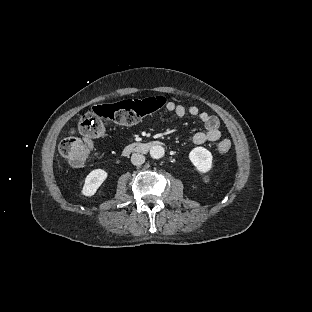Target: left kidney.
<instances>
[{"instance_id":"5707ae66","label":"left kidney","mask_w":312,"mask_h":312,"mask_svg":"<svg viewBox=\"0 0 312 312\" xmlns=\"http://www.w3.org/2000/svg\"><path fill=\"white\" fill-rule=\"evenodd\" d=\"M188 158L199 174H207L214 167L213 155L204 147L198 146L193 148Z\"/></svg>"}]
</instances>
